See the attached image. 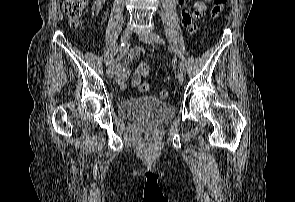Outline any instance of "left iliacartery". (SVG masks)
<instances>
[{
  "mask_svg": "<svg viewBox=\"0 0 295 202\" xmlns=\"http://www.w3.org/2000/svg\"><path fill=\"white\" fill-rule=\"evenodd\" d=\"M153 39H154L157 43L165 44L164 39H162L158 34H153ZM179 68H180V71H181L182 73L185 72V67H184V64H183L182 62L179 63Z\"/></svg>",
  "mask_w": 295,
  "mask_h": 202,
  "instance_id": "left-iliac-artery-1",
  "label": "left iliac artery"
}]
</instances>
